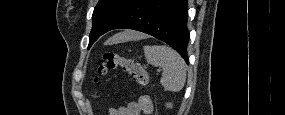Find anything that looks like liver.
Instances as JSON below:
<instances>
[{"label":"liver","instance_id":"obj_1","mask_svg":"<svg viewBox=\"0 0 285 115\" xmlns=\"http://www.w3.org/2000/svg\"><path fill=\"white\" fill-rule=\"evenodd\" d=\"M124 34H125V36H126V39H125V40L143 37L142 34L137 33V32H133V31H128V32H125ZM123 41H124V40H123ZM119 42H121V41H119ZM107 43H118V42H113V40L110 39V40L107 41Z\"/></svg>","mask_w":285,"mask_h":115}]
</instances>
